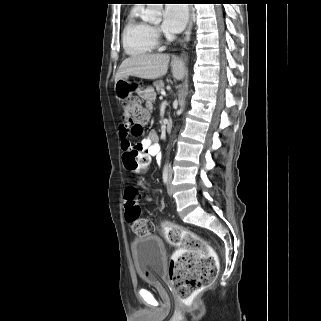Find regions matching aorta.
<instances>
[{
  "instance_id": "obj_1",
  "label": "aorta",
  "mask_w": 321,
  "mask_h": 321,
  "mask_svg": "<svg viewBox=\"0 0 321 321\" xmlns=\"http://www.w3.org/2000/svg\"><path fill=\"white\" fill-rule=\"evenodd\" d=\"M162 9V4H147V8L142 15L143 20L159 21L162 15Z\"/></svg>"
}]
</instances>
